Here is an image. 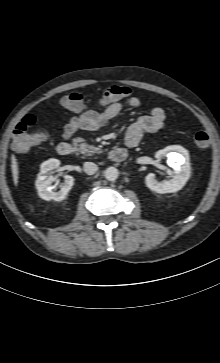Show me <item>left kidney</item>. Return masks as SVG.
Segmentation results:
<instances>
[{
	"label": "left kidney",
	"mask_w": 220,
	"mask_h": 363,
	"mask_svg": "<svg viewBox=\"0 0 220 363\" xmlns=\"http://www.w3.org/2000/svg\"><path fill=\"white\" fill-rule=\"evenodd\" d=\"M167 157V164L173 168L174 179L171 181L158 182L154 173H149L145 177L146 186L156 193H173L180 190L190 176L189 154L181 146H169L155 153V158L160 160Z\"/></svg>",
	"instance_id": "left-kidney-1"
}]
</instances>
